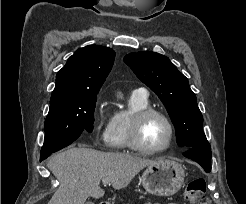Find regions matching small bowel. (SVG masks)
<instances>
[{"label": "small bowel", "mask_w": 246, "mask_h": 204, "mask_svg": "<svg viewBox=\"0 0 246 204\" xmlns=\"http://www.w3.org/2000/svg\"><path fill=\"white\" fill-rule=\"evenodd\" d=\"M146 204H158V203H146ZM170 204H175V203H170Z\"/></svg>", "instance_id": "small-bowel-1"}]
</instances>
